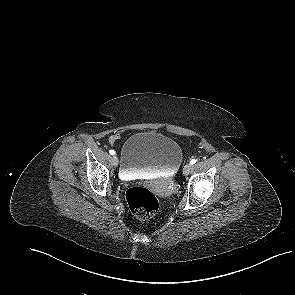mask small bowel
Listing matches in <instances>:
<instances>
[{"label":"small bowel","instance_id":"obj_1","mask_svg":"<svg viewBox=\"0 0 295 295\" xmlns=\"http://www.w3.org/2000/svg\"><path fill=\"white\" fill-rule=\"evenodd\" d=\"M118 137H119V133H114V134H112V135L109 137V142H110L111 144H114L115 141L118 139Z\"/></svg>","mask_w":295,"mask_h":295}]
</instances>
